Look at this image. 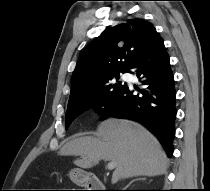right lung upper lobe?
Here are the masks:
<instances>
[{
    "instance_id": "right-lung-upper-lobe-1",
    "label": "right lung upper lobe",
    "mask_w": 210,
    "mask_h": 191,
    "mask_svg": "<svg viewBox=\"0 0 210 191\" xmlns=\"http://www.w3.org/2000/svg\"><path fill=\"white\" fill-rule=\"evenodd\" d=\"M158 36L154 26L143 19H130L102 32L80 53L71 78L69 99L88 92L109 74L129 71Z\"/></svg>"
}]
</instances>
